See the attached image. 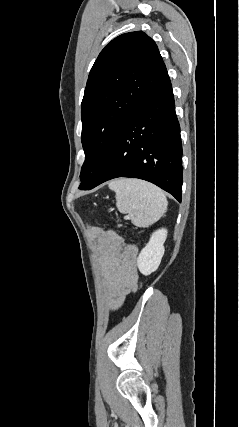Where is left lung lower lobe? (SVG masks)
Returning a JSON list of instances; mask_svg holds the SVG:
<instances>
[{
  "instance_id": "1",
  "label": "left lung lower lobe",
  "mask_w": 239,
  "mask_h": 427,
  "mask_svg": "<svg viewBox=\"0 0 239 427\" xmlns=\"http://www.w3.org/2000/svg\"><path fill=\"white\" fill-rule=\"evenodd\" d=\"M118 177L152 182L181 202L182 144L169 77L129 117L83 190Z\"/></svg>"
}]
</instances>
